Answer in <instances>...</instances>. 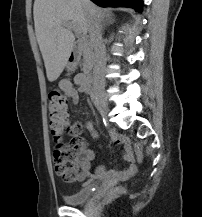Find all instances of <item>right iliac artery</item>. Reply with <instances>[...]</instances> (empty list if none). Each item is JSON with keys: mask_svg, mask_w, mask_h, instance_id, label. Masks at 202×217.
I'll use <instances>...</instances> for the list:
<instances>
[{"mask_svg": "<svg viewBox=\"0 0 202 217\" xmlns=\"http://www.w3.org/2000/svg\"><path fill=\"white\" fill-rule=\"evenodd\" d=\"M91 99H92V102L95 105V107L99 108V103L97 101L96 94H94V92L91 94Z\"/></svg>", "mask_w": 202, "mask_h": 217, "instance_id": "1", "label": "right iliac artery"}]
</instances>
